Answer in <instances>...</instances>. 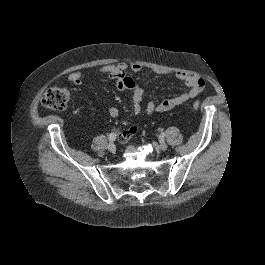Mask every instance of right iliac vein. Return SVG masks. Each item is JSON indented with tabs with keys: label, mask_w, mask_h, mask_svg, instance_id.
Returning <instances> with one entry per match:
<instances>
[{
	"label": "right iliac vein",
	"mask_w": 265,
	"mask_h": 265,
	"mask_svg": "<svg viewBox=\"0 0 265 265\" xmlns=\"http://www.w3.org/2000/svg\"><path fill=\"white\" fill-rule=\"evenodd\" d=\"M107 149H108L110 152L114 153V152L116 151V146H115L114 143L111 142V143L108 144Z\"/></svg>",
	"instance_id": "63e3f726"
}]
</instances>
